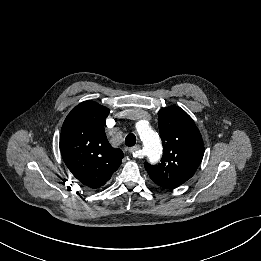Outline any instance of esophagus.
Here are the masks:
<instances>
[{"instance_id": "1", "label": "esophagus", "mask_w": 261, "mask_h": 261, "mask_svg": "<svg viewBox=\"0 0 261 261\" xmlns=\"http://www.w3.org/2000/svg\"><path fill=\"white\" fill-rule=\"evenodd\" d=\"M140 149H141V146H140V145H136V146H134V147H132V148L130 149V152H131L134 156H136V153H137Z\"/></svg>"}]
</instances>
